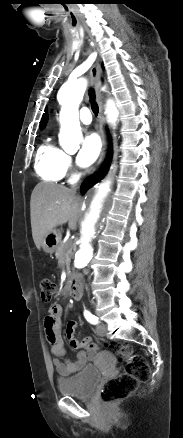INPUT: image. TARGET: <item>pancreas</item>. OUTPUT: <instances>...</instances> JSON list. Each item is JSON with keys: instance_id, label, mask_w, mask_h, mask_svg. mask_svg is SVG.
I'll return each instance as SVG.
<instances>
[{"instance_id": "obj_1", "label": "pancreas", "mask_w": 183, "mask_h": 438, "mask_svg": "<svg viewBox=\"0 0 183 438\" xmlns=\"http://www.w3.org/2000/svg\"><path fill=\"white\" fill-rule=\"evenodd\" d=\"M56 258L58 259L59 263L66 264V267L69 268L71 257H72V247L70 242L63 243L61 242L59 246L56 249Z\"/></svg>"}]
</instances>
